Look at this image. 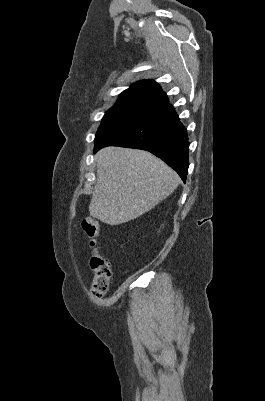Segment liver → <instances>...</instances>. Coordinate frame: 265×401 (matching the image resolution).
Instances as JSON below:
<instances>
[{"mask_svg":"<svg viewBox=\"0 0 265 401\" xmlns=\"http://www.w3.org/2000/svg\"><path fill=\"white\" fill-rule=\"evenodd\" d=\"M95 162L97 182L89 211L107 225L141 217L179 184L177 172L147 150L106 146L95 154Z\"/></svg>","mask_w":265,"mask_h":401,"instance_id":"6515ba94","label":"liver"}]
</instances>
